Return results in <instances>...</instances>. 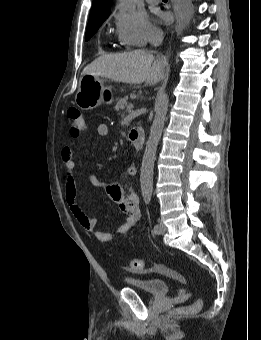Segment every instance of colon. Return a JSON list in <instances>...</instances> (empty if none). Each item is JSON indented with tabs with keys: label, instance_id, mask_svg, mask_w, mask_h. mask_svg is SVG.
I'll use <instances>...</instances> for the list:
<instances>
[{
	"label": "colon",
	"instance_id": "5ec220e1",
	"mask_svg": "<svg viewBox=\"0 0 261 340\" xmlns=\"http://www.w3.org/2000/svg\"><path fill=\"white\" fill-rule=\"evenodd\" d=\"M67 121L69 132L73 137L79 136L85 129V121L81 112L76 108H70L67 111ZM143 266L141 259L133 258L129 261V269L139 271ZM202 307V300L198 299L189 306L175 309L176 314H190L199 311Z\"/></svg>",
	"mask_w": 261,
	"mask_h": 340
}]
</instances>
